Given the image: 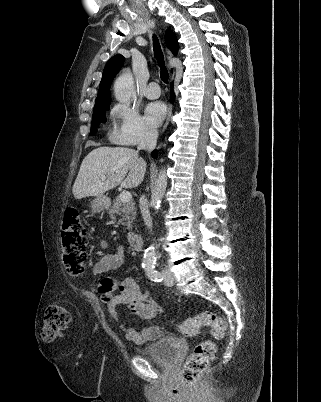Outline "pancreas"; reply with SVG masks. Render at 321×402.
Listing matches in <instances>:
<instances>
[{
	"instance_id": "pancreas-1",
	"label": "pancreas",
	"mask_w": 321,
	"mask_h": 402,
	"mask_svg": "<svg viewBox=\"0 0 321 402\" xmlns=\"http://www.w3.org/2000/svg\"><path fill=\"white\" fill-rule=\"evenodd\" d=\"M109 215L112 220H116V215H120L121 218L118 220V224L125 225L127 229L131 230L136 216L135 202L133 200L122 202L120 197L117 196L109 209Z\"/></svg>"
}]
</instances>
